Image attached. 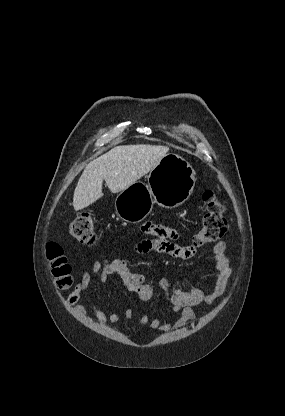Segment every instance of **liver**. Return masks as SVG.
Masks as SVG:
<instances>
[{
	"label": "liver",
	"mask_w": 285,
	"mask_h": 416,
	"mask_svg": "<svg viewBox=\"0 0 285 416\" xmlns=\"http://www.w3.org/2000/svg\"><path fill=\"white\" fill-rule=\"evenodd\" d=\"M166 146H116L86 166L73 196V208L84 210L102 198V182L105 180L110 192L118 194L135 184L142 176L157 166L166 156Z\"/></svg>",
	"instance_id": "6515ba94"
}]
</instances>
